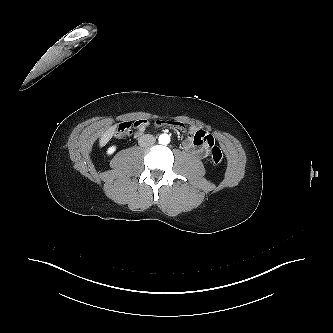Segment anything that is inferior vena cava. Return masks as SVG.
Listing matches in <instances>:
<instances>
[{"label": "inferior vena cava", "instance_id": "602c4592", "mask_svg": "<svg viewBox=\"0 0 333 333\" xmlns=\"http://www.w3.org/2000/svg\"><path fill=\"white\" fill-rule=\"evenodd\" d=\"M156 139L153 135L145 134L138 139V144L142 147H149L155 143Z\"/></svg>", "mask_w": 333, "mask_h": 333}]
</instances>
